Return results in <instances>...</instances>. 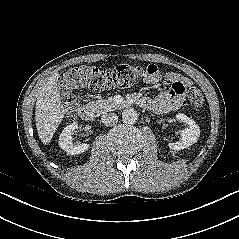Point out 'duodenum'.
<instances>
[{"mask_svg":"<svg viewBox=\"0 0 239 239\" xmlns=\"http://www.w3.org/2000/svg\"><path fill=\"white\" fill-rule=\"evenodd\" d=\"M146 101H141V104L145 106ZM79 116L85 121H91L94 118V110L89 105H81L78 109Z\"/></svg>","mask_w":239,"mask_h":239,"instance_id":"duodenum-1","label":"duodenum"}]
</instances>
